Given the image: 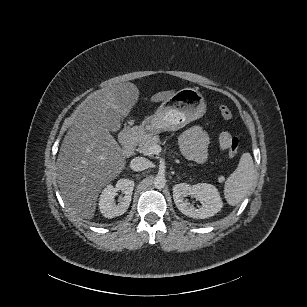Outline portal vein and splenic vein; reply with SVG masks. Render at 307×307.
I'll list each match as a JSON object with an SVG mask.
<instances>
[{
  "label": "portal vein and splenic vein",
  "instance_id": "18ae733b",
  "mask_svg": "<svg viewBox=\"0 0 307 307\" xmlns=\"http://www.w3.org/2000/svg\"><path fill=\"white\" fill-rule=\"evenodd\" d=\"M153 154H159L162 150L161 146L156 144L150 148Z\"/></svg>",
  "mask_w": 307,
  "mask_h": 307
}]
</instances>
